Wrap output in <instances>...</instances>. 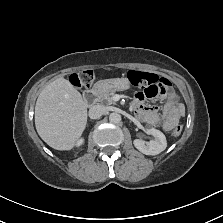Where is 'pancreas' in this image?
Here are the masks:
<instances>
[{"label": "pancreas", "mask_w": 223, "mask_h": 223, "mask_svg": "<svg viewBox=\"0 0 223 223\" xmlns=\"http://www.w3.org/2000/svg\"><path fill=\"white\" fill-rule=\"evenodd\" d=\"M114 95L115 94H106V95H103V98H102L101 102L106 101L107 102V105L115 104V101H114V98H113Z\"/></svg>", "instance_id": "cf45deb5"}]
</instances>
